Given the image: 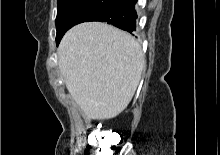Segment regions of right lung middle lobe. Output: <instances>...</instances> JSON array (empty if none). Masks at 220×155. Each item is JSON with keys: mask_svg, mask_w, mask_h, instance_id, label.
Returning a JSON list of instances; mask_svg holds the SVG:
<instances>
[{"mask_svg": "<svg viewBox=\"0 0 220 155\" xmlns=\"http://www.w3.org/2000/svg\"><path fill=\"white\" fill-rule=\"evenodd\" d=\"M122 0H58L56 17V42H60L65 32L76 24L107 10Z\"/></svg>", "mask_w": 220, "mask_h": 155, "instance_id": "obj_1", "label": "right lung middle lobe"}]
</instances>
